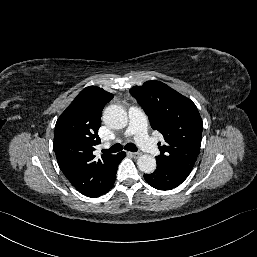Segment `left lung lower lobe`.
<instances>
[{
    "label": "left lung lower lobe",
    "instance_id": "0a47b994",
    "mask_svg": "<svg viewBox=\"0 0 257 257\" xmlns=\"http://www.w3.org/2000/svg\"><path fill=\"white\" fill-rule=\"evenodd\" d=\"M187 177L188 175L161 162H157L154 173L144 174L146 182L158 190H171L179 186Z\"/></svg>",
    "mask_w": 257,
    "mask_h": 257
}]
</instances>
